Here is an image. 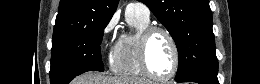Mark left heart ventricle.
<instances>
[{
	"instance_id": "b2bd125f",
	"label": "left heart ventricle",
	"mask_w": 260,
	"mask_h": 84,
	"mask_svg": "<svg viewBox=\"0 0 260 84\" xmlns=\"http://www.w3.org/2000/svg\"><path fill=\"white\" fill-rule=\"evenodd\" d=\"M148 61L151 70L160 76H167L173 68V50L170 41L161 32L150 39Z\"/></svg>"
}]
</instances>
